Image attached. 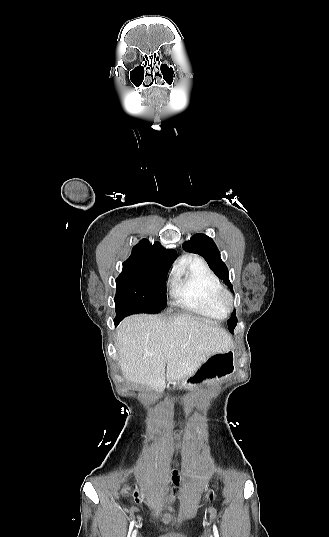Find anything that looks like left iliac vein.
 Listing matches in <instances>:
<instances>
[{
    "label": "left iliac vein",
    "mask_w": 329,
    "mask_h": 537,
    "mask_svg": "<svg viewBox=\"0 0 329 537\" xmlns=\"http://www.w3.org/2000/svg\"><path fill=\"white\" fill-rule=\"evenodd\" d=\"M209 537H213V536H212V534H210V536H209Z\"/></svg>",
    "instance_id": "obj_1"
}]
</instances>
